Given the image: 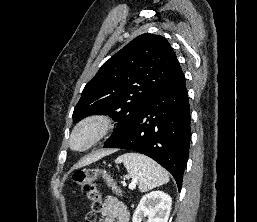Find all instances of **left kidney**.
<instances>
[{"label":"left kidney","instance_id":"obj_1","mask_svg":"<svg viewBox=\"0 0 257 222\" xmlns=\"http://www.w3.org/2000/svg\"><path fill=\"white\" fill-rule=\"evenodd\" d=\"M171 211V197L162 191L145 194L138 204L132 222H167Z\"/></svg>","mask_w":257,"mask_h":222}]
</instances>
